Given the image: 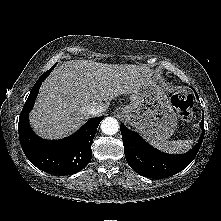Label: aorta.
<instances>
[{
	"label": "aorta",
	"mask_w": 221,
	"mask_h": 221,
	"mask_svg": "<svg viewBox=\"0 0 221 221\" xmlns=\"http://www.w3.org/2000/svg\"><path fill=\"white\" fill-rule=\"evenodd\" d=\"M101 130L104 134L114 135L119 130V122L113 117H106L101 122Z\"/></svg>",
	"instance_id": "aorta-1"
}]
</instances>
